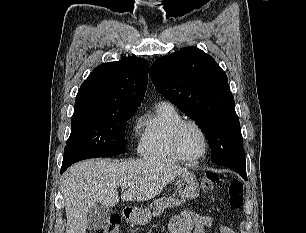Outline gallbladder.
I'll return each instance as SVG.
<instances>
[{
    "mask_svg": "<svg viewBox=\"0 0 306 233\" xmlns=\"http://www.w3.org/2000/svg\"><path fill=\"white\" fill-rule=\"evenodd\" d=\"M111 216V211L109 207L103 206L101 204H96L93 206L87 217V227L89 230H98L104 227Z\"/></svg>",
    "mask_w": 306,
    "mask_h": 233,
    "instance_id": "1",
    "label": "gallbladder"
}]
</instances>
